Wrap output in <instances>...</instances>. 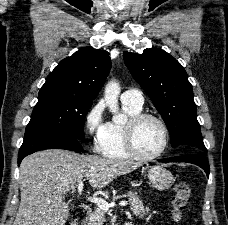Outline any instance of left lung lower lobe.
I'll return each mask as SVG.
<instances>
[{"instance_id":"1","label":"left lung lower lobe","mask_w":228,"mask_h":225,"mask_svg":"<svg viewBox=\"0 0 228 225\" xmlns=\"http://www.w3.org/2000/svg\"><path fill=\"white\" fill-rule=\"evenodd\" d=\"M160 162L192 163V164H195V165H198L199 167H201L206 172L207 176L209 177V172H210L209 162H208L205 154H202V153H195V154H190V155H185V156L171 157L168 159L160 160Z\"/></svg>"}]
</instances>
